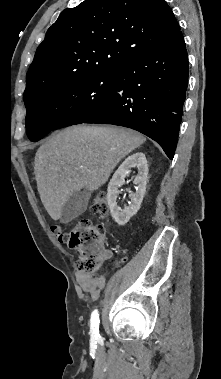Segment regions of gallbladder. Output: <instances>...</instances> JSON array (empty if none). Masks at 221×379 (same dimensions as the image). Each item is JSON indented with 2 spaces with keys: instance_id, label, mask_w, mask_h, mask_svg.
Here are the masks:
<instances>
[{
  "instance_id": "obj_1",
  "label": "gallbladder",
  "mask_w": 221,
  "mask_h": 379,
  "mask_svg": "<svg viewBox=\"0 0 221 379\" xmlns=\"http://www.w3.org/2000/svg\"><path fill=\"white\" fill-rule=\"evenodd\" d=\"M90 192L87 189L74 192L62 207L60 220L68 223L85 212Z\"/></svg>"
}]
</instances>
